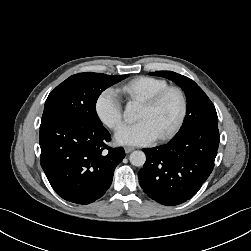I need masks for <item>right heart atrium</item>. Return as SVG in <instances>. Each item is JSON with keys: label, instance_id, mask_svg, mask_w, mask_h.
I'll use <instances>...</instances> for the list:
<instances>
[{"label": "right heart atrium", "instance_id": "d8ad5b80", "mask_svg": "<svg viewBox=\"0 0 251 251\" xmlns=\"http://www.w3.org/2000/svg\"><path fill=\"white\" fill-rule=\"evenodd\" d=\"M95 112L100 121L112 130L123 122V106L117 91L107 88L100 92L95 101Z\"/></svg>", "mask_w": 251, "mask_h": 251}]
</instances>
